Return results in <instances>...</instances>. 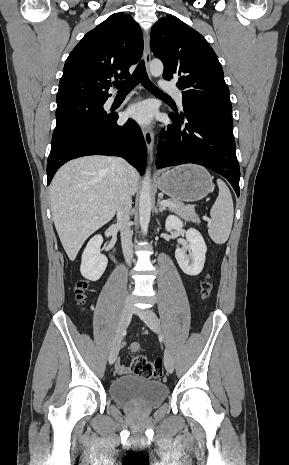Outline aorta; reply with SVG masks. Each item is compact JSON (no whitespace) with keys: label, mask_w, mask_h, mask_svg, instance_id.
<instances>
[{"label":"aorta","mask_w":289,"mask_h":465,"mask_svg":"<svg viewBox=\"0 0 289 465\" xmlns=\"http://www.w3.org/2000/svg\"><path fill=\"white\" fill-rule=\"evenodd\" d=\"M164 66L159 59H153L150 63V73L153 77H160L163 74ZM151 173L150 168L146 169L145 177L142 182L140 200H139V223L141 231L145 235L148 231V225L151 217L152 199H151Z\"/></svg>","instance_id":"762f6f07"}]
</instances>
